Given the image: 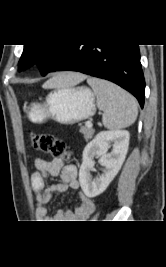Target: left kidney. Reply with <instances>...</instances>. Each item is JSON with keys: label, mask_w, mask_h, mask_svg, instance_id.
<instances>
[{"label": "left kidney", "mask_w": 166, "mask_h": 267, "mask_svg": "<svg viewBox=\"0 0 166 267\" xmlns=\"http://www.w3.org/2000/svg\"><path fill=\"white\" fill-rule=\"evenodd\" d=\"M130 134L126 130H109L98 133L83 151V162L79 170L80 186L87 197H96L108 187L120 170L129 146ZM113 147L110 153L108 149ZM99 156V163L104 167L103 173L92 179L90 171Z\"/></svg>", "instance_id": "1"}]
</instances>
